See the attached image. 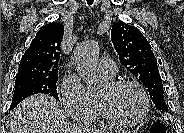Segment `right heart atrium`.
I'll return each mask as SVG.
<instances>
[{"instance_id":"obj_1","label":"right heart atrium","mask_w":184,"mask_h":133,"mask_svg":"<svg viewBox=\"0 0 184 133\" xmlns=\"http://www.w3.org/2000/svg\"><path fill=\"white\" fill-rule=\"evenodd\" d=\"M60 94L66 113L73 119L90 122L96 119L98 102L77 76L66 77L60 87Z\"/></svg>"}]
</instances>
